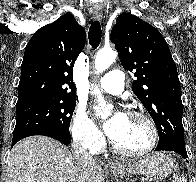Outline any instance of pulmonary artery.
I'll list each match as a JSON object with an SVG mask.
<instances>
[{
  "mask_svg": "<svg viewBox=\"0 0 196 182\" xmlns=\"http://www.w3.org/2000/svg\"><path fill=\"white\" fill-rule=\"evenodd\" d=\"M101 90L118 95L124 90V75L119 70L109 71L98 83Z\"/></svg>",
  "mask_w": 196,
  "mask_h": 182,
  "instance_id": "obj_1",
  "label": "pulmonary artery"
}]
</instances>
